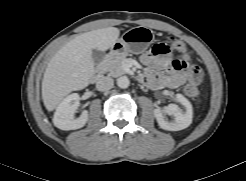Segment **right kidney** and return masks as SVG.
I'll use <instances>...</instances> for the list:
<instances>
[{"label": "right kidney", "instance_id": "1", "mask_svg": "<svg viewBox=\"0 0 246 181\" xmlns=\"http://www.w3.org/2000/svg\"><path fill=\"white\" fill-rule=\"evenodd\" d=\"M79 106V95L73 93L68 95L58 105L54 117V125L61 130H76L82 128L88 121V111L84 110L79 118H74V114Z\"/></svg>", "mask_w": 246, "mask_h": 181}]
</instances>
